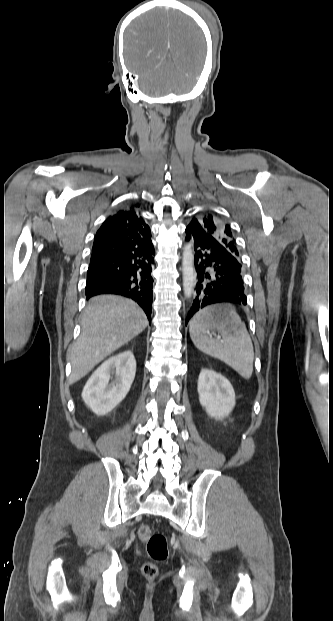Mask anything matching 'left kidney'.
<instances>
[{"label":"left kidney","instance_id":"obj_1","mask_svg":"<svg viewBox=\"0 0 333 621\" xmlns=\"http://www.w3.org/2000/svg\"><path fill=\"white\" fill-rule=\"evenodd\" d=\"M200 404L215 419L227 417L235 406L233 386L219 373L203 368L197 386Z\"/></svg>","mask_w":333,"mask_h":621}]
</instances>
